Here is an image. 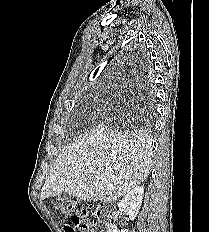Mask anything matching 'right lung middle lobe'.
<instances>
[{
    "mask_svg": "<svg viewBox=\"0 0 209 232\" xmlns=\"http://www.w3.org/2000/svg\"><path fill=\"white\" fill-rule=\"evenodd\" d=\"M154 92L149 83L144 86V97L141 101V109L138 112L140 124L144 128L149 129L152 126L153 112H154Z\"/></svg>",
    "mask_w": 209,
    "mask_h": 232,
    "instance_id": "right-lung-middle-lobe-1",
    "label": "right lung middle lobe"
}]
</instances>
